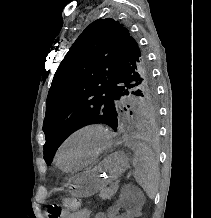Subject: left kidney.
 <instances>
[{"label":"left kidney","mask_w":211,"mask_h":218,"mask_svg":"<svg viewBox=\"0 0 211 218\" xmlns=\"http://www.w3.org/2000/svg\"><path fill=\"white\" fill-rule=\"evenodd\" d=\"M107 218H140V215H136V207H131L130 198H118L113 207H108Z\"/></svg>","instance_id":"5707ae66"}]
</instances>
